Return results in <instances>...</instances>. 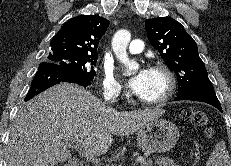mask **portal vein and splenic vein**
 I'll use <instances>...</instances> for the list:
<instances>
[{"mask_svg": "<svg viewBox=\"0 0 231 166\" xmlns=\"http://www.w3.org/2000/svg\"><path fill=\"white\" fill-rule=\"evenodd\" d=\"M68 145L71 146V143L69 142ZM80 150L82 151V149H80ZM80 153L86 155L87 159L92 160V162L98 163V160L95 159L93 156H89L87 153H84V152H80ZM136 162H137V163H143V162H145V158H143V157H138V158L136 159Z\"/></svg>", "mask_w": 231, "mask_h": 166, "instance_id": "obj_1", "label": "portal vein and splenic vein"}]
</instances>
